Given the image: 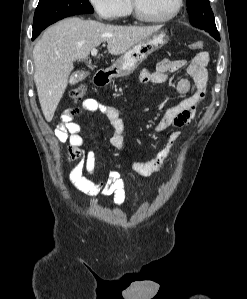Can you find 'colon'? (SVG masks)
Returning <instances> with one entry per match:
<instances>
[{"label": "colon", "mask_w": 247, "mask_h": 299, "mask_svg": "<svg viewBox=\"0 0 247 299\" xmlns=\"http://www.w3.org/2000/svg\"><path fill=\"white\" fill-rule=\"evenodd\" d=\"M203 42L202 41H195L192 42L188 45L189 49L194 50V51H199L202 50L203 48ZM86 86L85 85H77L76 87L72 88L70 90V97L75 100V101H80L84 98L86 94Z\"/></svg>", "instance_id": "1"}]
</instances>
